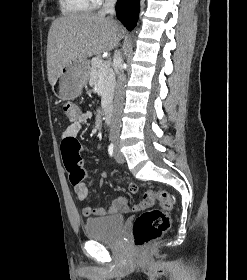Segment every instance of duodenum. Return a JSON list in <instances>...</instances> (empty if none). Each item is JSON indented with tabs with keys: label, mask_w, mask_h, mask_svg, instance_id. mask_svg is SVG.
I'll use <instances>...</instances> for the list:
<instances>
[{
	"label": "duodenum",
	"mask_w": 247,
	"mask_h": 280,
	"mask_svg": "<svg viewBox=\"0 0 247 280\" xmlns=\"http://www.w3.org/2000/svg\"><path fill=\"white\" fill-rule=\"evenodd\" d=\"M103 118L106 122H109L111 120V107L105 106L103 109Z\"/></svg>",
	"instance_id": "duodenum-1"
}]
</instances>
